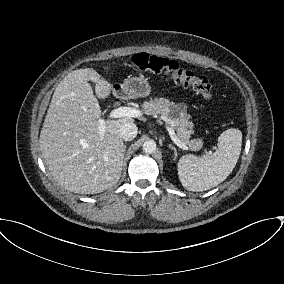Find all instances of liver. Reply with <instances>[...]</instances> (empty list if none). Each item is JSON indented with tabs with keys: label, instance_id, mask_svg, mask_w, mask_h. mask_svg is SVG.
<instances>
[{
	"label": "liver",
	"instance_id": "1",
	"mask_svg": "<svg viewBox=\"0 0 284 284\" xmlns=\"http://www.w3.org/2000/svg\"><path fill=\"white\" fill-rule=\"evenodd\" d=\"M98 98L112 85L92 68L70 72L56 87L40 132V149L54 179L66 190L96 194L120 179L125 145L120 127L131 117L104 120ZM104 121V136L99 126Z\"/></svg>",
	"mask_w": 284,
	"mask_h": 284
}]
</instances>
